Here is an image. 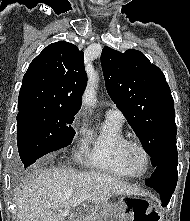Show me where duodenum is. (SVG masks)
<instances>
[{"mask_svg": "<svg viewBox=\"0 0 190 221\" xmlns=\"http://www.w3.org/2000/svg\"><path fill=\"white\" fill-rule=\"evenodd\" d=\"M76 221H89L88 218L78 219Z\"/></svg>", "mask_w": 190, "mask_h": 221, "instance_id": "duodenum-1", "label": "duodenum"}]
</instances>
